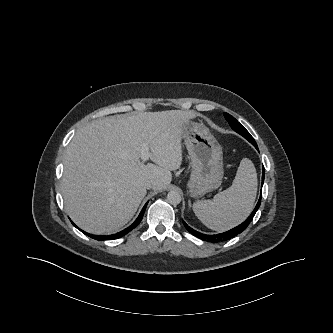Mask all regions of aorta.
<instances>
[{"label":"aorta","mask_w":333,"mask_h":333,"mask_svg":"<svg viewBox=\"0 0 333 333\" xmlns=\"http://www.w3.org/2000/svg\"><path fill=\"white\" fill-rule=\"evenodd\" d=\"M167 201L172 205H178L181 202V195L178 191H170L167 194Z\"/></svg>","instance_id":"1"}]
</instances>
